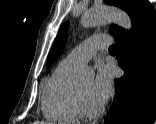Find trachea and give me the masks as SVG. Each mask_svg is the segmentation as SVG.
<instances>
[{
	"instance_id": "3493384b",
	"label": "trachea",
	"mask_w": 156,
	"mask_h": 124,
	"mask_svg": "<svg viewBox=\"0 0 156 124\" xmlns=\"http://www.w3.org/2000/svg\"><path fill=\"white\" fill-rule=\"evenodd\" d=\"M109 51H117V47L115 45H111L109 47Z\"/></svg>"
}]
</instances>
